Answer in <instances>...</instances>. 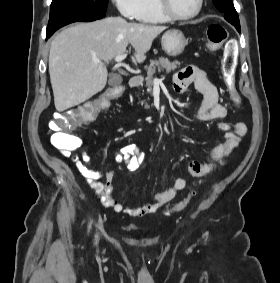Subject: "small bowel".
<instances>
[{
  "mask_svg": "<svg viewBox=\"0 0 280 283\" xmlns=\"http://www.w3.org/2000/svg\"><path fill=\"white\" fill-rule=\"evenodd\" d=\"M189 85H194L203 95L196 119L201 123L217 121L218 128L224 133L223 142L210 150L209 162L201 163L197 160H190L187 163V171L191 176L204 178L214 172L217 165L223 164L226 161L247 134L248 129L243 122H235L233 125H230L221 121L226 116L227 109L219 103V93L216 86L202 70L190 66L175 75L173 87L176 92H183ZM68 156L76 165L79 173L86 179L89 186L99 196L100 202L104 207L110 208L117 213H125L131 217H142L156 212L160 207L170 202L187 185L185 178H178L167 190L156 194L151 203L142 206L124 204L112 196V171L100 172L91 169L90 156L85 150L80 155L70 153ZM145 158V154L133 143L123 145L115 154V160L119 163H124L129 172L138 171ZM101 178H105L106 182H99Z\"/></svg>",
  "mask_w": 280,
  "mask_h": 283,
  "instance_id": "obj_1",
  "label": "small bowel"
}]
</instances>
